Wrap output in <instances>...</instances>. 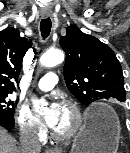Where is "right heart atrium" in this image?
I'll return each mask as SVG.
<instances>
[{
  "instance_id": "obj_1",
  "label": "right heart atrium",
  "mask_w": 130,
  "mask_h": 153,
  "mask_svg": "<svg viewBox=\"0 0 130 153\" xmlns=\"http://www.w3.org/2000/svg\"><path fill=\"white\" fill-rule=\"evenodd\" d=\"M14 118L19 132L23 137L39 141L44 138V124L39 118L33 115L27 106H18Z\"/></svg>"
}]
</instances>
